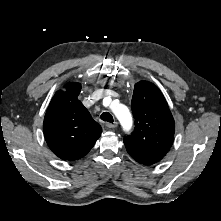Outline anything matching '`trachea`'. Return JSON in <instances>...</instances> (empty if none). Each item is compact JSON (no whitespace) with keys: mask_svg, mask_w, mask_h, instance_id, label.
I'll list each match as a JSON object with an SVG mask.
<instances>
[{"mask_svg":"<svg viewBox=\"0 0 221 221\" xmlns=\"http://www.w3.org/2000/svg\"><path fill=\"white\" fill-rule=\"evenodd\" d=\"M100 118L105 122L113 123V117L109 112H103Z\"/></svg>","mask_w":221,"mask_h":221,"instance_id":"trachea-1","label":"trachea"}]
</instances>
